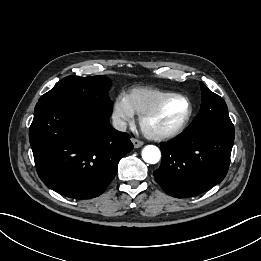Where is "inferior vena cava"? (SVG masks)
<instances>
[{
	"mask_svg": "<svg viewBox=\"0 0 261 261\" xmlns=\"http://www.w3.org/2000/svg\"><path fill=\"white\" fill-rule=\"evenodd\" d=\"M113 127L118 131H126L127 123L119 117H113Z\"/></svg>",
	"mask_w": 261,
	"mask_h": 261,
	"instance_id": "602c4592",
	"label": "inferior vena cava"
}]
</instances>
